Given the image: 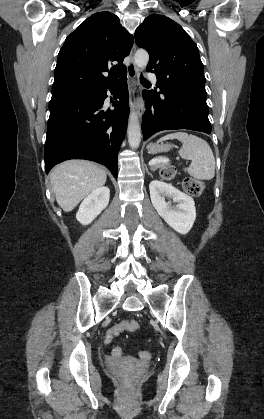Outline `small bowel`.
Segmentation results:
<instances>
[{
	"instance_id": "1",
	"label": "small bowel",
	"mask_w": 264,
	"mask_h": 419,
	"mask_svg": "<svg viewBox=\"0 0 264 419\" xmlns=\"http://www.w3.org/2000/svg\"><path fill=\"white\" fill-rule=\"evenodd\" d=\"M109 331H116V333L117 334H119L120 333V331H119V324H116L112 329H110ZM109 331H107V332H109ZM107 343V342H106ZM122 354H123V351H122V348L121 347H115L113 350H112V356L113 357H120V356H122Z\"/></svg>"
}]
</instances>
